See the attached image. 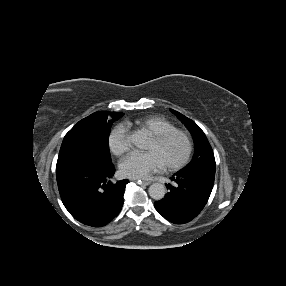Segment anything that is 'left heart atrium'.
<instances>
[{
    "label": "left heart atrium",
    "instance_id": "obj_1",
    "mask_svg": "<svg viewBox=\"0 0 286 286\" xmlns=\"http://www.w3.org/2000/svg\"><path fill=\"white\" fill-rule=\"evenodd\" d=\"M163 168L152 151L133 152L120 163L122 173L129 178H146Z\"/></svg>",
    "mask_w": 286,
    "mask_h": 286
}]
</instances>
